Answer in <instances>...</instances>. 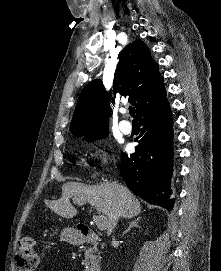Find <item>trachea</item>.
Listing matches in <instances>:
<instances>
[{
	"label": "trachea",
	"instance_id": "3493384b",
	"mask_svg": "<svg viewBox=\"0 0 221 271\" xmlns=\"http://www.w3.org/2000/svg\"><path fill=\"white\" fill-rule=\"evenodd\" d=\"M129 113L130 115L133 117V121H137V117H136V110L133 106L129 107Z\"/></svg>",
	"mask_w": 221,
	"mask_h": 271
}]
</instances>
